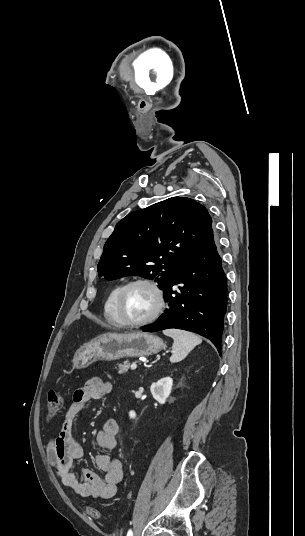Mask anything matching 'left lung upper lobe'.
Segmentation results:
<instances>
[{
  "instance_id": "left-lung-upper-lobe-1",
  "label": "left lung upper lobe",
  "mask_w": 305,
  "mask_h": 536,
  "mask_svg": "<svg viewBox=\"0 0 305 536\" xmlns=\"http://www.w3.org/2000/svg\"><path fill=\"white\" fill-rule=\"evenodd\" d=\"M213 236L207 209L191 198L172 197L128 214L104 245L98 275H136L165 288Z\"/></svg>"
}]
</instances>
